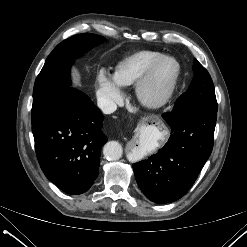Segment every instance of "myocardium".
<instances>
[{"label":"myocardium","mask_w":247,"mask_h":247,"mask_svg":"<svg viewBox=\"0 0 247 247\" xmlns=\"http://www.w3.org/2000/svg\"><path fill=\"white\" fill-rule=\"evenodd\" d=\"M166 61L171 62L174 66L172 75L160 91L152 94L150 93V87L152 85L156 70ZM179 76L180 65L178 61L173 56L162 55L149 66L145 73L136 82L135 94L137 99L147 108L157 109L163 107L172 98L179 80Z\"/></svg>","instance_id":"obj_1"}]
</instances>
